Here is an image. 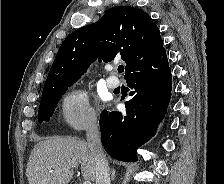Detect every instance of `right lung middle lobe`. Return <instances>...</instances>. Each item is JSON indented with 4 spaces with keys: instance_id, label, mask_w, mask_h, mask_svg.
Returning a JSON list of instances; mask_svg holds the SVG:
<instances>
[{
    "instance_id": "1",
    "label": "right lung middle lobe",
    "mask_w": 224,
    "mask_h": 184,
    "mask_svg": "<svg viewBox=\"0 0 224 184\" xmlns=\"http://www.w3.org/2000/svg\"><path fill=\"white\" fill-rule=\"evenodd\" d=\"M51 94L46 97H42L40 102V108L38 112V121L42 123L43 121H49L50 117L53 115L54 108L56 107L58 101L60 100L61 96L66 92L67 87Z\"/></svg>"
}]
</instances>
